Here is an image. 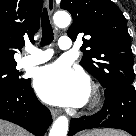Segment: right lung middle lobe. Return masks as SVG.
Listing matches in <instances>:
<instances>
[{
  "label": "right lung middle lobe",
  "mask_w": 136,
  "mask_h": 136,
  "mask_svg": "<svg viewBox=\"0 0 136 136\" xmlns=\"http://www.w3.org/2000/svg\"><path fill=\"white\" fill-rule=\"evenodd\" d=\"M17 63H0V90H10L19 86L24 79H20L16 70Z\"/></svg>",
  "instance_id": "1"
}]
</instances>
